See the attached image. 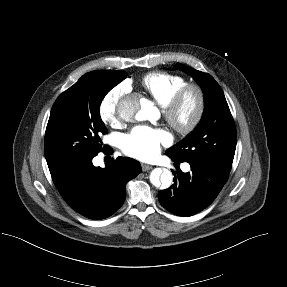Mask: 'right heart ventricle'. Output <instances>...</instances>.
I'll return each instance as SVG.
<instances>
[{
    "label": "right heart ventricle",
    "instance_id": "right-heart-ventricle-1",
    "mask_svg": "<svg viewBox=\"0 0 287 287\" xmlns=\"http://www.w3.org/2000/svg\"><path fill=\"white\" fill-rule=\"evenodd\" d=\"M185 84L187 83L183 76L167 72L148 73L141 79V86L162 107L166 106Z\"/></svg>",
    "mask_w": 287,
    "mask_h": 287
}]
</instances>
